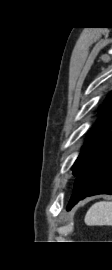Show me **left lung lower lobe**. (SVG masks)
I'll return each instance as SVG.
<instances>
[{"mask_svg": "<svg viewBox=\"0 0 112 270\" xmlns=\"http://www.w3.org/2000/svg\"><path fill=\"white\" fill-rule=\"evenodd\" d=\"M95 194H112V149L76 178L67 210Z\"/></svg>", "mask_w": 112, "mask_h": 270, "instance_id": "obj_1", "label": "left lung lower lobe"}]
</instances>
